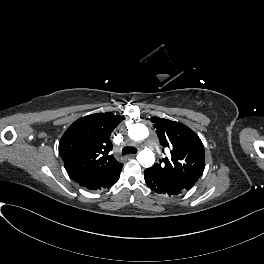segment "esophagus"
I'll return each mask as SVG.
<instances>
[{
	"instance_id": "obj_1",
	"label": "esophagus",
	"mask_w": 264,
	"mask_h": 264,
	"mask_svg": "<svg viewBox=\"0 0 264 264\" xmlns=\"http://www.w3.org/2000/svg\"><path fill=\"white\" fill-rule=\"evenodd\" d=\"M135 157H136V155H134V154H131V155L127 156V158H135Z\"/></svg>"
}]
</instances>
